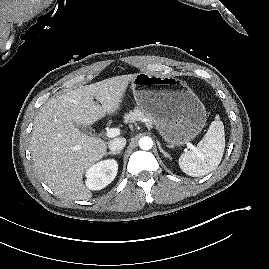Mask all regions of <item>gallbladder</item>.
<instances>
[{
  "label": "gallbladder",
  "mask_w": 269,
  "mask_h": 269,
  "mask_svg": "<svg viewBox=\"0 0 269 269\" xmlns=\"http://www.w3.org/2000/svg\"><path fill=\"white\" fill-rule=\"evenodd\" d=\"M76 128L79 129L81 132L85 134H91L92 133V128L90 126H83V125H78L75 124Z\"/></svg>",
  "instance_id": "1"
}]
</instances>
